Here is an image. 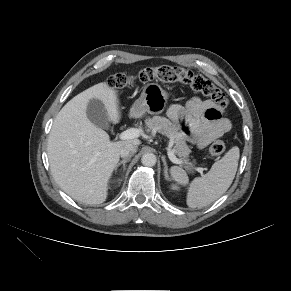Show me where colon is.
I'll use <instances>...</instances> for the list:
<instances>
[{
  "mask_svg": "<svg viewBox=\"0 0 291 291\" xmlns=\"http://www.w3.org/2000/svg\"><path fill=\"white\" fill-rule=\"evenodd\" d=\"M152 81L181 82L189 85L193 90L209 97L221 109L228 105L225 94L212 82L201 75L173 66L146 67L137 76H128L122 73L112 75L108 84L114 88H125L134 85L136 82L148 83ZM225 151V144L222 140L214 141L209 147L212 156H220Z\"/></svg>",
  "mask_w": 291,
  "mask_h": 291,
  "instance_id": "1",
  "label": "colon"
}]
</instances>
